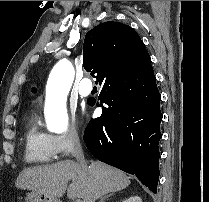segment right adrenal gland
I'll list each match as a JSON object with an SVG mask.
<instances>
[{
	"mask_svg": "<svg viewBox=\"0 0 209 202\" xmlns=\"http://www.w3.org/2000/svg\"><path fill=\"white\" fill-rule=\"evenodd\" d=\"M113 195V193H109L107 195H104L103 197H101L100 202H104L106 199H108L109 197H111Z\"/></svg>",
	"mask_w": 209,
	"mask_h": 202,
	"instance_id": "right-adrenal-gland-1",
	"label": "right adrenal gland"
}]
</instances>
